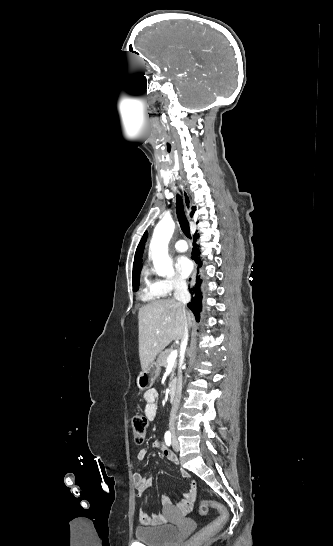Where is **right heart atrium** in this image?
Masks as SVG:
<instances>
[{
    "label": "right heart atrium",
    "instance_id": "1",
    "mask_svg": "<svg viewBox=\"0 0 333 546\" xmlns=\"http://www.w3.org/2000/svg\"><path fill=\"white\" fill-rule=\"evenodd\" d=\"M155 287L160 296H169L173 292L184 289L186 283L181 277H173L155 281Z\"/></svg>",
    "mask_w": 333,
    "mask_h": 546
}]
</instances>
